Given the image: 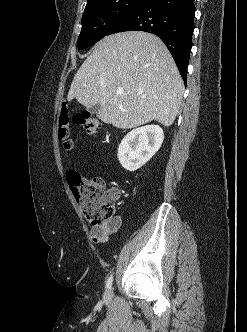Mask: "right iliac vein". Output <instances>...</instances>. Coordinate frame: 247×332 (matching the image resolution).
I'll return each mask as SVG.
<instances>
[{
  "instance_id": "63e3f726",
  "label": "right iliac vein",
  "mask_w": 247,
  "mask_h": 332,
  "mask_svg": "<svg viewBox=\"0 0 247 332\" xmlns=\"http://www.w3.org/2000/svg\"><path fill=\"white\" fill-rule=\"evenodd\" d=\"M105 295H106L107 297L111 296V290L106 291Z\"/></svg>"
}]
</instances>
